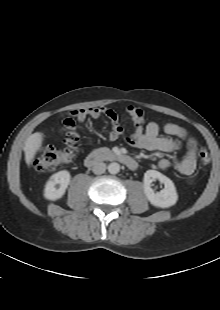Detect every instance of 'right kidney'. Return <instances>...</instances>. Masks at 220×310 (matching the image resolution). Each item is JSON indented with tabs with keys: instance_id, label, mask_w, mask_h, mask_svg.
Here are the masks:
<instances>
[{
	"instance_id": "1",
	"label": "right kidney",
	"mask_w": 220,
	"mask_h": 310,
	"mask_svg": "<svg viewBox=\"0 0 220 310\" xmlns=\"http://www.w3.org/2000/svg\"><path fill=\"white\" fill-rule=\"evenodd\" d=\"M71 175L67 170L59 171L46 182L44 188V197L48 200H58L62 198L70 183Z\"/></svg>"
}]
</instances>
